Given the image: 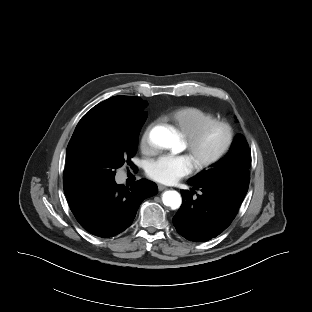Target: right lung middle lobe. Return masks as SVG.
<instances>
[{"instance_id": "dd1d6c3e", "label": "right lung middle lobe", "mask_w": 312, "mask_h": 312, "mask_svg": "<svg viewBox=\"0 0 312 312\" xmlns=\"http://www.w3.org/2000/svg\"><path fill=\"white\" fill-rule=\"evenodd\" d=\"M146 107V103L144 108ZM147 112L91 109L79 121L66 151L64 191L83 196L113 181L116 169L132 164Z\"/></svg>"}]
</instances>
